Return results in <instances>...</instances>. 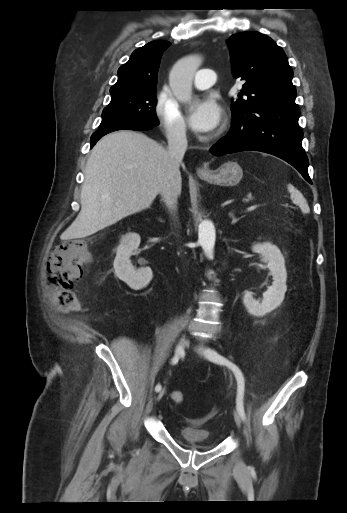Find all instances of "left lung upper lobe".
<instances>
[{
  "instance_id": "left-lung-upper-lobe-1",
  "label": "left lung upper lobe",
  "mask_w": 347,
  "mask_h": 513,
  "mask_svg": "<svg viewBox=\"0 0 347 513\" xmlns=\"http://www.w3.org/2000/svg\"><path fill=\"white\" fill-rule=\"evenodd\" d=\"M228 45L233 76L246 81L239 99L231 104L233 116L264 104H295L293 71L274 40L259 32H241L232 35ZM243 94L246 100L242 99Z\"/></svg>"
}]
</instances>
